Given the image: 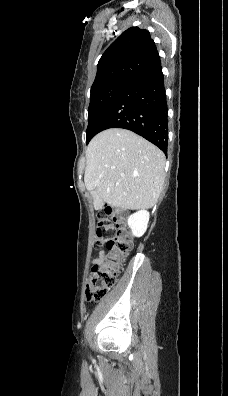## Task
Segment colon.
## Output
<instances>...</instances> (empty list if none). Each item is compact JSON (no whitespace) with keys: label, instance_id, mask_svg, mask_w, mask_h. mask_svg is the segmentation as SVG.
Segmentation results:
<instances>
[{"label":"colon","instance_id":"colon-1","mask_svg":"<svg viewBox=\"0 0 228 396\" xmlns=\"http://www.w3.org/2000/svg\"><path fill=\"white\" fill-rule=\"evenodd\" d=\"M96 245L106 252L93 265L86 285L88 301H100L115 284L123 258L131 248L128 231L119 211L106 206L98 217Z\"/></svg>","mask_w":228,"mask_h":396}]
</instances>
